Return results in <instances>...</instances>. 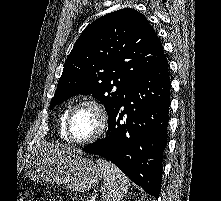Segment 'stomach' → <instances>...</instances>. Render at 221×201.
I'll return each mask as SVG.
<instances>
[{
	"instance_id": "obj_1",
	"label": "stomach",
	"mask_w": 221,
	"mask_h": 201,
	"mask_svg": "<svg viewBox=\"0 0 221 201\" xmlns=\"http://www.w3.org/2000/svg\"><path fill=\"white\" fill-rule=\"evenodd\" d=\"M24 173L33 181L62 184L76 192H86L101 180V169L92 160L51 148L28 156Z\"/></svg>"
}]
</instances>
